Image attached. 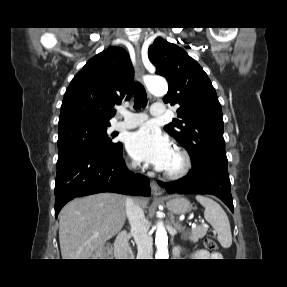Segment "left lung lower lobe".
<instances>
[{
  "label": "left lung lower lobe",
  "mask_w": 287,
  "mask_h": 287,
  "mask_svg": "<svg viewBox=\"0 0 287 287\" xmlns=\"http://www.w3.org/2000/svg\"><path fill=\"white\" fill-rule=\"evenodd\" d=\"M158 183L169 194H212L220 198L233 212L231 183L228 171L207 168L199 172H189L187 176L173 182Z\"/></svg>",
  "instance_id": "obj_1"
}]
</instances>
